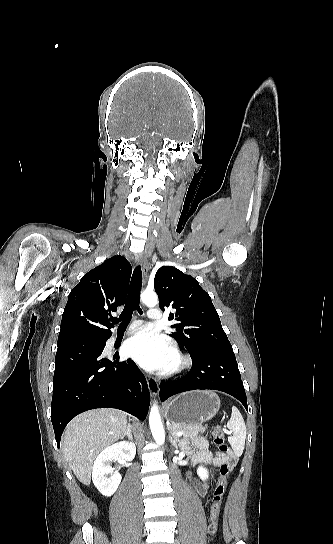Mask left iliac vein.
I'll use <instances>...</instances> for the list:
<instances>
[{"label":"left iliac vein","mask_w":333,"mask_h":544,"mask_svg":"<svg viewBox=\"0 0 333 544\" xmlns=\"http://www.w3.org/2000/svg\"><path fill=\"white\" fill-rule=\"evenodd\" d=\"M174 544H179V543H178V541H175V543H174Z\"/></svg>","instance_id":"obj_1"}]
</instances>
